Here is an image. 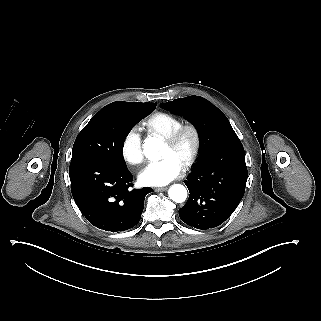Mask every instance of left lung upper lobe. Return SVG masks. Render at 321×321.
Returning a JSON list of instances; mask_svg holds the SVG:
<instances>
[{
  "label": "left lung upper lobe",
  "instance_id": "1",
  "mask_svg": "<svg viewBox=\"0 0 321 321\" xmlns=\"http://www.w3.org/2000/svg\"><path fill=\"white\" fill-rule=\"evenodd\" d=\"M160 106L194 125L200 138L199 162L221 147L241 143L224 113L203 97L189 96Z\"/></svg>",
  "mask_w": 321,
  "mask_h": 321
}]
</instances>
